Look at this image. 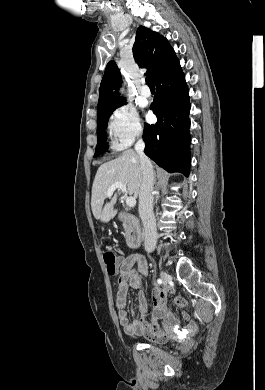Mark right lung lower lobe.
<instances>
[{"label":"right lung lower lobe","mask_w":265,"mask_h":390,"mask_svg":"<svg viewBox=\"0 0 265 390\" xmlns=\"http://www.w3.org/2000/svg\"><path fill=\"white\" fill-rule=\"evenodd\" d=\"M156 95L150 106L155 125L144 124L145 154L166 171L190 172V102L185 76L177 62L155 81Z\"/></svg>","instance_id":"right-lung-lower-lobe-1"}]
</instances>
